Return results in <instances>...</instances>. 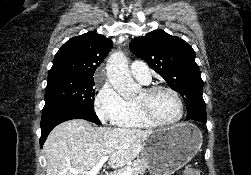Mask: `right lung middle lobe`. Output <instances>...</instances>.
<instances>
[{"mask_svg": "<svg viewBox=\"0 0 251 175\" xmlns=\"http://www.w3.org/2000/svg\"><path fill=\"white\" fill-rule=\"evenodd\" d=\"M45 105L63 104L94 110V82L70 78H48Z\"/></svg>", "mask_w": 251, "mask_h": 175, "instance_id": "dd1d6c3e", "label": "right lung middle lobe"}]
</instances>
